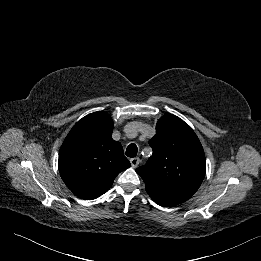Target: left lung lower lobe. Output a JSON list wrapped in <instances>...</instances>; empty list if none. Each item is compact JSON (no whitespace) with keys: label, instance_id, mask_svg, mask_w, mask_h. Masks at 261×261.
I'll return each instance as SVG.
<instances>
[{"label":"left lung lower lobe","instance_id":"0a47b994","mask_svg":"<svg viewBox=\"0 0 261 261\" xmlns=\"http://www.w3.org/2000/svg\"><path fill=\"white\" fill-rule=\"evenodd\" d=\"M147 192L152 198V200L160 206H166V207L174 206L183 203L189 199L187 197L172 194V193H162L156 191H147Z\"/></svg>","mask_w":261,"mask_h":261}]
</instances>
